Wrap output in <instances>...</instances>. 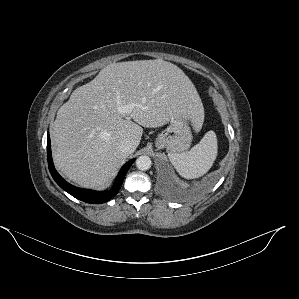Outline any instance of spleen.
Returning a JSON list of instances; mask_svg holds the SVG:
<instances>
[{
  "label": "spleen",
  "instance_id": "3e777b00",
  "mask_svg": "<svg viewBox=\"0 0 299 299\" xmlns=\"http://www.w3.org/2000/svg\"><path fill=\"white\" fill-rule=\"evenodd\" d=\"M217 137L214 131L205 133L201 141L188 152L169 154V160L181 177L195 179L212 167L217 156Z\"/></svg>",
  "mask_w": 299,
  "mask_h": 299
}]
</instances>
